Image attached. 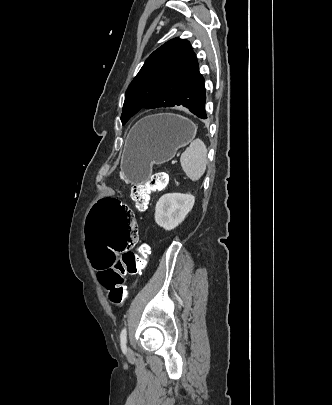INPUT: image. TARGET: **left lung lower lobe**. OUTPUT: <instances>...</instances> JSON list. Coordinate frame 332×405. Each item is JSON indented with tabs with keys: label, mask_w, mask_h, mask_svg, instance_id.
<instances>
[{
	"label": "left lung lower lobe",
	"mask_w": 332,
	"mask_h": 405,
	"mask_svg": "<svg viewBox=\"0 0 332 405\" xmlns=\"http://www.w3.org/2000/svg\"><path fill=\"white\" fill-rule=\"evenodd\" d=\"M205 102H206V90L204 87V80H203L199 93H198V98H197L196 104L194 105V107L192 109H189V111L202 119L207 118L206 111H205Z\"/></svg>",
	"instance_id": "0a47b994"
}]
</instances>
